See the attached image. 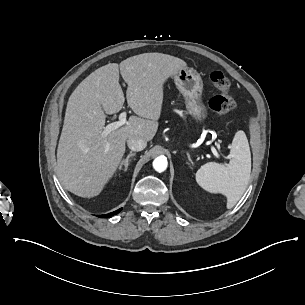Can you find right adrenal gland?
Wrapping results in <instances>:
<instances>
[{"label": "right adrenal gland", "instance_id": "obj_1", "mask_svg": "<svg viewBox=\"0 0 305 305\" xmlns=\"http://www.w3.org/2000/svg\"><path fill=\"white\" fill-rule=\"evenodd\" d=\"M135 155H136V153H132V151H131L130 154L126 157V159H124L120 163L119 170H122V166L124 165V171H127L128 165H129V159H130V157L135 156Z\"/></svg>", "mask_w": 305, "mask_h": 305}]
</instances>
